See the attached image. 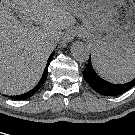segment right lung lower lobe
Instances as JSON below:
<instances>
[{"instance_id":"98d812e1","label":"right lung lower lobe","mask_w":135,"mask_h":135,"mask_svg":"<svg viewBox=\"0 0 135 135\" xmlns=\"http://www.w3.org/2000/svg\"><path fill=\"white\" fill-rule=\"evenodd\" d=\"M53 55H54V52L50 55V57L48 59L46 68L44 70V73H43L40 81L38 82V84L32 90H30L27 93L21 94V95L10 96V98H13V99H16V100H25V99H28L29 97H31L32 95H34L41 88V86L44 84V82L46 81L47 74H48L47 66L50 63V60L53 58Z\"/></svg>"}]
</instances>
